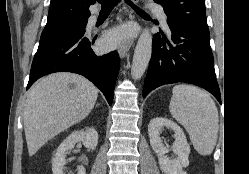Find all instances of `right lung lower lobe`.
Instances as JSON below:
<instances>
[{
  "label": "right lung lower lobe",
  "mask_w": 249,
  "mask_h": 174,
  "mask_svg": "<svg viewBox=\"0 0 249 174\" xmlns=\"http://www.w3.org/2000/svg\"><path fill=\"white\" fill-rule=\"evenodd\" d=\"M79 31L63 33L52 41L40 44L34 56L27 89L40 77L54 72H73L85 76L105 95L109 105L119 71V55L116 51L96 55L91 40Z\"/></svg>",
  "instance_id": "1"
}]
</instances>
